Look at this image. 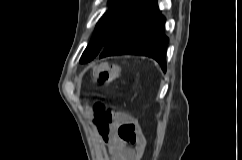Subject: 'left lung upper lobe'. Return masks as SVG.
I'll use <instances>...</instances> for the list:
<instances>
[{
    "mask_svg": "<svg viewBox=\"0 0 242 160\" xmlns=\"http://www.w3.org/2000/svg\"><path fill=\"white\" fill-rule=\"evenodd\" d=\"M156 0H109L110 8L99 20L95 34L80 59L86 63L94 59L104 46L125 27L132 24Z\"/></svg>",
    "mask_w": 242,
    "mask_h": 160,
    "instance_id": "1",
    "label": "left lung upper lobe"
}]
</instances>
